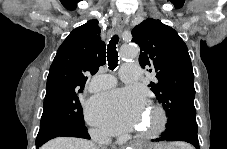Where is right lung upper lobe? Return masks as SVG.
I'll return each mask as SVG.
<instances>
[{
	"label": "right lung upper lobe",
	"mask_w": 227,
	"mask_h": 149,
	"mask_svg": "<svg viewBox=\"0 0 227 149\" xmlns=\"http://www.w3.org/2000/svg\"><path fill=\"white\" fill-rule=\"evenodd\" d=\"M105 43L97 20L74 29L59 47L50 66L46 90L84 88L87 72L95 74L105 60Z\"/></svg>",
	"instance_id": "1"
}]
</instances>
